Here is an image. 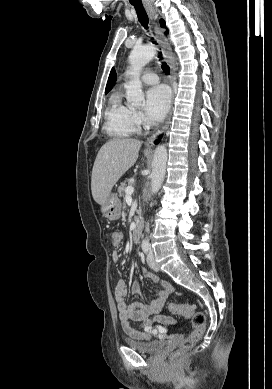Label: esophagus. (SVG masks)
<instances>
[{"label":"esophagus","mask_w":272,"mask_h":389,"mask_svg":"<svg viewBox=\"0 0 272 389\" xmlns=\"http://www.w3.org/2000/svg\"><path fill=\"white\" fill-rule=\"evenodd\" d=\"M147 11H148V14L151 17V19L154 20V29H155L157 39L162 47L164 57H165L166 61L169 63V66L171 69V85L173 87V78L175 75V67H174L173 61L170 58V54H171L170 43H169L168 39L166 38V36L164 35V30L159 26V24L156 21L157 14H156L155 10L152 9L151 7H147ZM174 97H175V90L173 88L172 100L174 99ZM171 115H172V110H170L166 122L162 126L161 130L158 131L157 135L162 133L168 127L170 119H171ZM154 138H155V135L148 138L146 141V145L151 146L153 144Z\"/></svg>","instance_id":"esophagus-1"}]
</instances>
